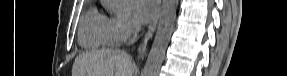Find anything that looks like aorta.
<instances>
[{"label":"aorta","instance_id":"aorta-1","mask_svg":"<svg viewBox=\"0 0 287 76\" xmlns=\"http://www.w3.org/2000/svg\"><path fill=\"white\" fill-rule=\"evenodd\" d=\"M177 6L178 0H164L155 38L141 76H158L172 35Z\"/></svg>","mask_w":287,"mask_h":76}]
</instances>
